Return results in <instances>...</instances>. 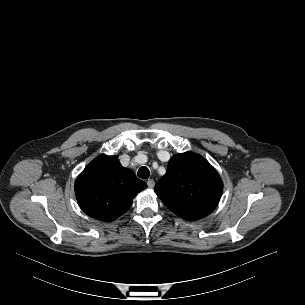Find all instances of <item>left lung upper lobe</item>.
Returning a JSON list of instances; mask_svg holds the SVG:
<instances>
[{
    "instance_id": "1",
    "label": "left lung upper lobe",
    "mask_w": 305,
    "mask_h": 305,
    "mask_svg": "<svg viewBox=\"0 0 305 305\" xmlns=\"http://www.w3.org/2000/svg\"><path fill=\"white\" fill-rule=\"evenodd\" d=\"M154 190L173 213L192 221L209 215L215 209L223 183L205 158L186 152L170 159L166 174Z\"/></svg>"
}]
</instances>
